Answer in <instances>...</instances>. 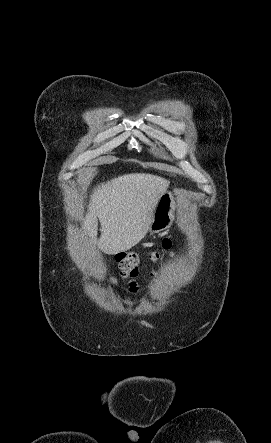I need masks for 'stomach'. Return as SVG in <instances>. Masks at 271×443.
<instances>
[{
    "instance_id": "0dacf381",
    "label": "stomach",
    "mask_w": 271,
    "mask_h": 443,
    "mask_svg": "<svg viewBox=\"0 0 271 443\" xmlns=\"http://www.w3.org/2000/svg\"><path fill=\"white\" fill-rule=\"evenodd\" d=\"M176 202L171 192H165L160 196L152 216V222L149 225L150 233H159L163 229H168L174 222Z\"/></svg>"
}]
</instances>
